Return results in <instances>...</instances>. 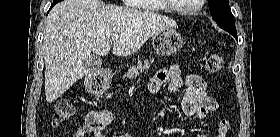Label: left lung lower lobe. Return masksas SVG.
Segmentation results:
<instances>
[{
  "label": "left lung lower lobe",
  "instance_id": "0a47b994",
  "mask_svg": "<svg viewBox=\"0 0 280 137\" xmlns=\"http://www.w3.org/2000/svg\"><path fill=\"white\" fill-rule=\"evenodd\" d=\"M234 37H235V39H237L238 40V38H237V35L236 34H232Z\"/></svg>",
  "mask_w": 280,
  "mask_h": 137
}]
</instances>
